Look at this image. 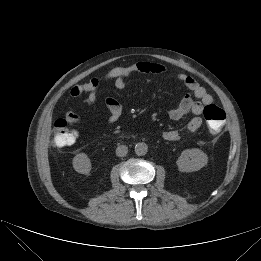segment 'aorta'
Wrapping results in <instances>:
<instances>
[{"instance_id": "aorta-1", "label": "aorta", "mask_w": 261, "mask_h": 261, "mask_svg": "<svg viewBox=\"0 0 261 261\" xmlns=\"http://www.w3.org/2000/svg\"><path fill=\"white\" fill-rule=\"evenodd\" d=\"M148 152V146L146 143L144 142H139L135 145V153L138 155V156H143L145 154H147Z\"/></svg>"}]
</instances>
